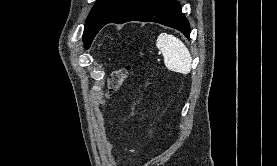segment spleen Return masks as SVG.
<instances>
[{"label":"spleen","mask_w":277,"mask_h":166,"mask_svg":"<svg viewBox=\"0 0 277 166\" xmlns=\"http://www.w3.org/2000/svg\"><path fill=\"white\" fill-rule=\"evenodd\" d=\"M156 46L162 52L165 66L169 70L182 74H188L191 71L190 52L180 39L161 33L156 40Z\"/></svg>","instance_id":"3e777b00"}]
</instances>
